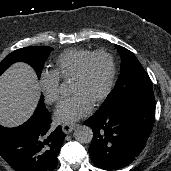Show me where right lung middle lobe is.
<instances>
[{"instance_id":"dd1d6c3e","label":"right lung middle lobe","mask_w":171,"mask_h":171,"mask_svg":"<svg viewBox=\"0 0 171 171\" xmlns=\"http://www.w3.org/2000/svg\"><path fill=\"white\" fill-rule=\"evenodd\" d=\"M52 48L47 46H33L25 47L13 51L6 56L0 63V75L13 63L15 62H26L30 64L36 71L38 77L41 75V71L44 67V63ZM43 96L40 99L39 104L44 105Z\"/></svg>"}]
</instances>
